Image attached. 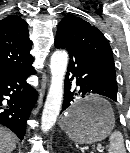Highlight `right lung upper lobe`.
Segmentation results:
<instances>
[{
  "label": "right lung upper lobe",
  "mask_w": 130,
  "mask_h": 153,
  "mask_svg": "<svg viewBox=\"0 0 130 153\" xmlns=\"http://www.w3.org/2000/svg\"><path fill=\"white\" fill-rule=\"evenodd\" d=\"M27 23L10 15L0 20V73L17 71L32 65Z\"/></svg>",
  "instance_id": "cb5924a9"
}]
</instances>
